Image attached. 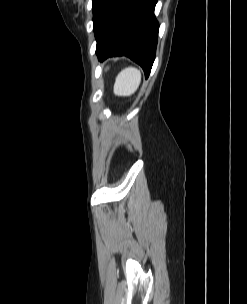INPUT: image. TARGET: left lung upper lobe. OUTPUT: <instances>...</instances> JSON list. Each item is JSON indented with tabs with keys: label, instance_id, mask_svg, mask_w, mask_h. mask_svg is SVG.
Listing matches in <instances>:
<instances>
[{
	"label": "left lung upper lobe",
	"instance_id": "left-lung-upper-lobe-1",
	"mask_svg": "<svg viewBox=\"0 0 247 304\" xmlns=\"http://www.w3.org/2000/svg\"><path fill=\"white\" fill-rule=\"evenodd\" d=\"M101 0H92V10H93V15L96 12Z\"/></svg>",
	"mask_w": 247,
	"mask_h": 304
}]
</instances>
